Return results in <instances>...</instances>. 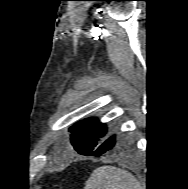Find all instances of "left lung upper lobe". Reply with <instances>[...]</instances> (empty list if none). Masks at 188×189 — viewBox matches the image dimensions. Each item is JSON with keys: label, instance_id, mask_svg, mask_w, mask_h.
<instances>
[{"label": "left lung upper lobe", "instance_id": "1", "mask_svg": "<svg viewBox=\"0 0 188 189\" xmlns=\"http://www.w3.org/2000/svg\"><path fill=\"white\" fill-rule=\"evenodd\" d=\"M69 131L74 149L88 155L105 139L106 127L97 119L88 118L77 122Z\"/></svg>", "mask_w": 188, "mask_h": 189}]
</instances>
